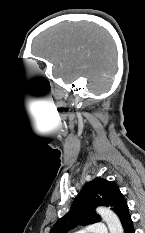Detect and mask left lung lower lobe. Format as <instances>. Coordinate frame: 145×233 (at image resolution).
Segmentation results:
<instances>
[{
	"instance_id": "0a47b994",
	"label": "left lung lower lobe",
	"mask_w": 145,
	"mask_h": 233,
	"mask_svg": "<svg viewBox=\"0 0 145 233\" xmlns=\"http://www.w3.org/2000/svg\"><path fill=\"white\" fill-rule=\"evenodd\" d=\"M124 233H135L132 220H130L124 227Z\"/></svg>"
}]
</instances>
